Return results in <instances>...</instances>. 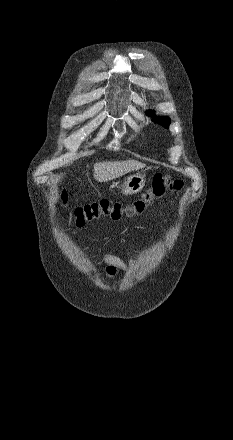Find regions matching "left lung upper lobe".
<instances>
[{
	"instance_id": "1",
	"label": "left lung upper lobe",
	"mask_w": 233,
	"mask_h": 440,
	"mask_svg": "<svg viewBox=\"0 0 233 440\" xmlns=\"http://www.w3.org/2000/svg\"><path fill=\"white\" fill-rule=\"evenodd\" d=\"M146 113L149 116H153V114H154L153 111H147ZM153 121L156 123L162 124L166 128H168V126L170 125V122H171V120L168 117H157V118L153 119Z\"/></svg>"
}]
</instances>
